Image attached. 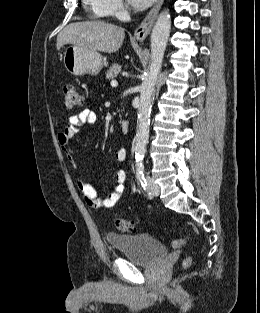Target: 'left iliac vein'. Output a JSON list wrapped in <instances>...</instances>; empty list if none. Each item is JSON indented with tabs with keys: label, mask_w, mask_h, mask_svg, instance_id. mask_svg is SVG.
Segmentation results:
<instances>
[{
	"label": "left iliac vein",
	"mask_w": 260,
	"mask_h": 313,
	"mask_svg": "<svg viewBox=\"0 0 260 313\" xmlns=\"http://www.w3.org/2000/svg\"><path fill=\"white\" fill-rule=\"evenodd\" d=\"M146 178H147L149 193L152 196L157 197L160 194L159 186L154 182L153 178H151L150 176H147Z\"/></svg>",
	"instance_id": "1"
}]
</instances>
